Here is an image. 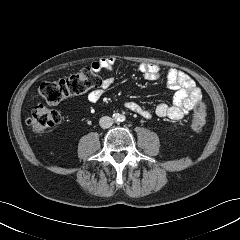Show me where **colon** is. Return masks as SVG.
I'll use <instances>...</instances> for the list:
<instances>
[{
	"instance_id": "1",
	"label": "colon",
	"mask_w": 240,
	"mask_h": 240,
	"mask_svg": "<svg viewBox=\"0 0 240 240\" xmlns=\"http://www.w3.org/2000/svg\"><path fill=\"white\" fill-rule=\"evenodd\" d=\"M97 75L90 69H83L79 72L46 81L40 86L41 96L49 104H57L62 100L83 95L98 85ZM61 122V114L44 105H37L33 108L28 124L32 131L41 133ZM206 123V108L199 103L193 110L190 119V128L193 131L201 130Z\"/></svg>"
}]
</instances>
